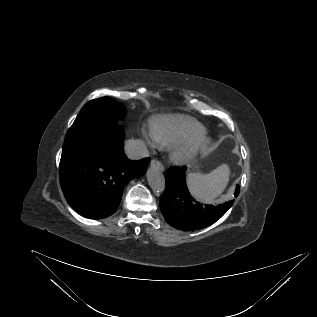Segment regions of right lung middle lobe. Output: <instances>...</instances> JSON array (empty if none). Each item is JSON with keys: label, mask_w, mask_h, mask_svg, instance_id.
<instances>
[{"label": "right lung middle lobe", "mask_w": 317, "mask_h": 317, "mask_svg": "<svg viewBox=\"0 0 317 317\" xmlns=\"http://www.w3.org/2000/svg\"><path fill=\"white\" fill-rule=\"evenodd\" d=\"M125 113L124 106L110 97L105 96L89 101L69 128L62 152L79 144L94 130L103 126L116 125L117 119L123 118L122 114Z\"/></svg>", "instance_id": "right-lung-middle-lobe-1"}]
</instances>
